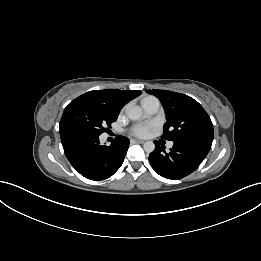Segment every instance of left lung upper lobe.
Here are the masks:
<instances>
[{"instance_id": "obj_1", "label": "left lung upper lobe", "mask_w": 261, "mask_h": 261, "mask_svg": "<svg viewBox=\"0 0 261 261\" xmlns=\"http://www.w3.org/2000/svg\"><path fill=\"white\" fill-rule=\"evenodd\" d=\"M164 106L167 122L162 138L170 141L198 140L212 143L213 125L209 115L193 98L167 90H147Z\"/></svg>"}]
</instances>
